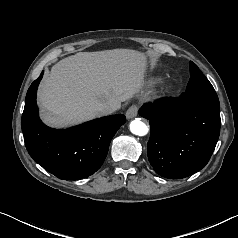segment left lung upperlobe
Masks as SVG:
<instances>
[{
    "mask_svg": "<svg viewBox=\"0 0 238 238\" xmlns=\"http://www.w3.org/2000/svg\"><path fill=\"white\" fill-rule=\"evenodd\" d=\"M190 74L186 92L180 96L183 104L199 99L218 100L213 86L192 61H190Z\"/></svg>",
    "mask_w": 238,
    "mask_h": 238,
    "instance_id": "obj_1",
    "label": "left lung upper lobe"
}]
</instances>
